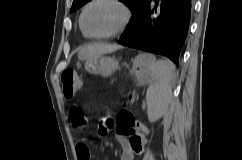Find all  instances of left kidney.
<instances>
[{"mask_svg": "<svg viewBox=\"0 0 242 160\" xmlns=\"http://www.w3.org/2000/svg\"><path fill=\"white\" fill-rule=\"evenodd\" d=\"M165 112H166L165 107L155 109L150 103H148L147 115L151 123H154L157 120H159L164 115Z\"/></svg>", "mask_w": 242, "mask_h": 160, "instance_id": "1", "label": "left kidney"}]
</instances>
